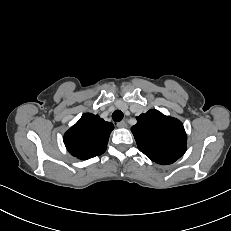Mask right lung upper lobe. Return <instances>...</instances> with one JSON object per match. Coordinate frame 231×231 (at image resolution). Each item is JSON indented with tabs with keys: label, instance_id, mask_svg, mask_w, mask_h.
<instances>
[{
	"label": "right lung upper lobe",
	"instance_id": "cb5924a9",
	"mask_svg": "<svg viewBox=\"0 0 231 231\" xmlns=\"http://www.w3.org/2000/svg\"><path fill=\"white\" fill-rule=\"evenodd\" d=\"M114 126L98 115L84 114L64 135V144L69 153L85 160L105 152Z\"/></svg>",
	"mask_w": 231,
	"mask_h": 231
}]
</instances>
